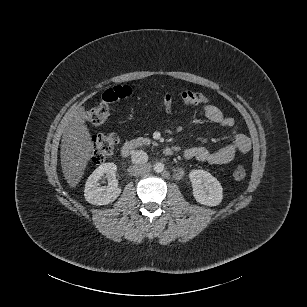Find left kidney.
Returning <instances> with one entry per match:
<instances>
[{
    "label": "left kidney",
    "instance_id": "5707ae66",
    "mask_svg": "<svg viewBox=\"0 0 307 307\" xmlns=\"http://www.w3.org/2000/svg\"><path fill=\"white\" fill-rule=\"evenodd\" d=\"M193 195L197 202L206 206H217L223 198V189L220 182L209 172L192 170L189 173Z\"/></svg>",
    "mask_w": 307,
    "mask_h": 307
}]
</instances>
